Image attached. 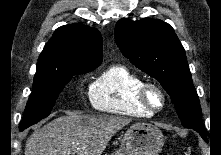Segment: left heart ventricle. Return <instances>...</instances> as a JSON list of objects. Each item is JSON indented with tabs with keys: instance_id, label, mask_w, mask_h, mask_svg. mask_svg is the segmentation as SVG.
<instances>
[{
	"instance_id": "obj_1",
	"label": "left heart ventricle",
	"mask_w": 221,
	"mask_h": 155,
	"mask_svg": "<svg viewBox=\"0 0 221 155\" xmlns=\"http://www.w3.org/2000/svg\"><path fill=\"white\" fill-rule=\"evenodd\" d=\"M150 100L154 105L156 106L160 105V98L155 92H152L150 94Z\"/></svg>"
}]
</instances>
